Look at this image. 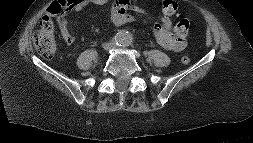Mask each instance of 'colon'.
<instances>
[{
    "instance_id": "1",
    "label": "colon",
    "mask_w": 253,
    "mask_h": 143,
    "mask_svg": "<svg viewBox=\"0 0 253 143\" xmlns=\"http://www.w3.org/2000/svg\"><path fill=\"white\" fill-rule=\"evenodd\" d=\"M80 0H57L52 3L49 8V15L46 16L41 24L40 28L33 35V43L37 52L44 58H51L54 56L57 50V44L54 37V26L50 16L58 15L62 8H73ZM174 10L177 9V5L174 4L172 7ZM189 21L186 19L180 20L176 25V32L180 36L186 37L189 31ZM183 64L190 63V57L183 55L181 57Z\"/></svg>"
}]
</instances>
